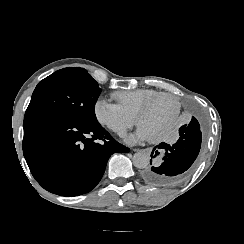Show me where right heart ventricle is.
Here are the masks:
<instances>
[{"label":"right heart ventricle","instance_id":"right-heart-ventricle-1","mask_svg":"<svg viewBox=\"0 0 244 244\" xmlns=\"http://www.w3.org/2000/svg\"><path fill=\"white\" fill-rule=\"evenodd\" d=\"M162 93L150 89H130L122 93L113 92L111 97L126 107L129 111L137 116L144 106L150 104L156 97H160ZM162 102V100L160 101ZM150 133L155 134L152 130L146 128Z\"/></svg>","mask_w":244,"mask_h":244}]
</instances>
